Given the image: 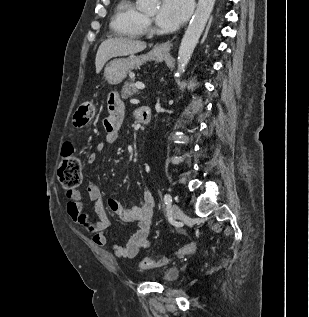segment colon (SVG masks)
<instances>
[{
  "label": "colon",
  "mask_w": 309,
  "mask_h": 317,
  "mask_svg": "<svg viewBox=\"0 0 309 317\" xmlns=\"http://www.w3.org/2000/svg\"><path fill=\"white\" fill-rule=\"evenodd\" d=\"M95 113V105L91 101H86L77 109L74 120L77 127H84L89 123ZM58 179L61 185L68 190L75 189L79 186L82 179V167L80 159L74 155V149L71 143L64 144L62 149V161L58 168ZM196 248V243H190L182 251L191 252ZM145 267H152L153 259L143 261Z\"/></svg>",
  "instance_id": "colon-1"
}]
</instances>
